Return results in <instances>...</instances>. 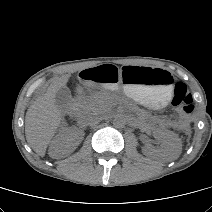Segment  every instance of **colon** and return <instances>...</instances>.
I'll use <instances>...</instances> for the list:
<instances>
[{"label": "colon", "instance_id": "colon-1", "mask_svg": "<svg viewBox=\"0 0 212 212\" xmlns=\"http://www.w3.org/2000/svg\"><path fill=\"white\" fill-rule=\"evenodd\" d=\"M172 104L181 115L188 116L194 110V101L191 93L184 83H177L174 87Z\"/></svg>", "mask_w": 212, "mask_h": 212}]
</instances>
